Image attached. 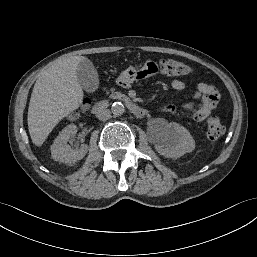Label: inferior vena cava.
I'll return each instance as SVG.
<instances>
[{"mask_svg":"<svg viewBox=\"0 0 257 257\" xmlns=\"http://www.w3.org/2000/svg\"><path fill=\"white\" fill-rule=\"evenodd\" d=\"M97 118L101 121H106L108 119H110L111 117V112L109 109H105V108H102V109H99L98 112H97Z\"/></svg>","mask_w":257,"mask_h":257,"instance_id":"inferior-vena-cava-1","label":"inferior vena cava"}]
</instances>
